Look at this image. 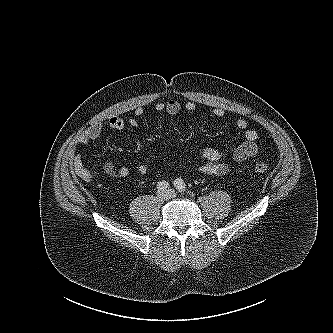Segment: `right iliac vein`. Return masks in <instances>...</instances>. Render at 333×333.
Here are the masks:
<instances>
[{
    "instance_id": "obj_1",
    "label": "right iliac vein",
    "mask_w": 333,
    "mask_h": 333,
    "mask_svg": "<svg viewBox=\"0 0 333 333\" xmlns=\"http://www.w3.org/2000/svg\"><path fill=\"white\" fill-rule=\"evenodd\" d=\"M157 196L160 198V199H167L169 197V194L168 192L165 190H162V191H158L157 192Z\"/></svg>"
}]
</instances>
